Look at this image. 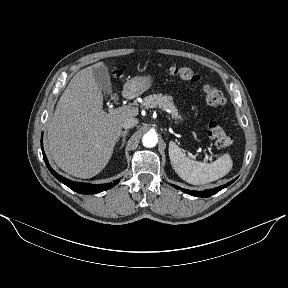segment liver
I'll list each match as a JSON object with an SVG mask.
<instances>
[{
  "instance_id": "6515ba94",
  "label": "liver",
  "mask_w": 288,
  "mask_h": 288,
  "mask_svg": "<svg viewBox=\"0 0 288 288\" xmlns=\"http://www.w3.org/2000/svg\"><path fill=\"white\" fill-rule=\"evenodd\" d=\"M80 70L61 95L48 126L49 150L54 162L75 177L91 178L108 164L124 121L138 115L137 108L117 114L103 110V94L93 69Z\"/></svg>"
}]
</instances>
